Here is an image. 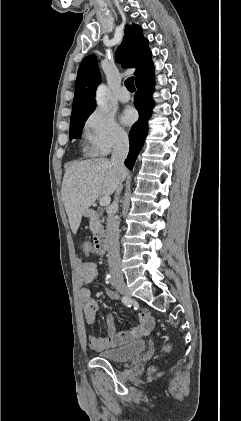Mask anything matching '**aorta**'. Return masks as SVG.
Listing matches in <instances>:
<instances>
[{
	"label": "aorta",
	"mask_w": 241,
	"mask_h": 421,
	"mask_svg": "<svg viewBox=\"0 0 241 421\" xmlns=\"http://www.w3.org/2000/svg\"><path fill=\"white\" fill-rule=\"evenodd\" d=\"M97 105L100 108H105L107 105V88L104 85H100L96 93Z\"/></svg>",
	"instance_id": "aorta-1"
}]
</instances>
